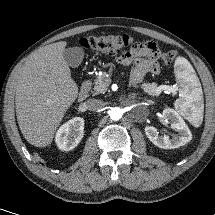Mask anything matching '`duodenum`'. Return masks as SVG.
<instances>
[{
    "mask_svg": "<svg viewBox=\"0 0 215 215\" xmlns=\"http://www.w3.org/2000/svg\"><path fill=\"white\" fill-rule=\"evenodd\" d=\"M89 89H90V81L89 80H85L80 88V91L78 93V100L79 101H84L88 94H89Z\"/></svg>",
    "mask_w": 215,
    "mask_h": 215,
    "instance_id": "duodenum-1",
    "label": "duodenum"
}]
</instances>
